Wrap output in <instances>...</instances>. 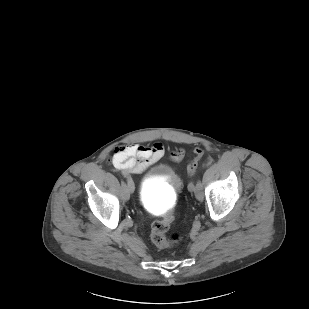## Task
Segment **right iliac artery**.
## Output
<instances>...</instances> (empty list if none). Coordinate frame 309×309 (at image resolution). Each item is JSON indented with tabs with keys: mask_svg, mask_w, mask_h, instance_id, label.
<instances>
[{
	"mask_svg": "<svg viewBox=\"0 0 309 309\" xmlns=\"http://www.w3.org/2000/svg\"><path fill=\"white\" fill-rule=\"evenodd\" d=\"M120 175H122V177L124 176L127 179L129 187H131V188L134 187V181H132V174L130 172L125 173V170H120ZM124 186H125V184H124Z\"/></svg>",
	"mask_w": 309,
	"mask_h": 309,
	"instance_id": "obj_1",
	"label": "right iliac artery"
}]
</instances>
